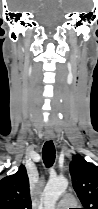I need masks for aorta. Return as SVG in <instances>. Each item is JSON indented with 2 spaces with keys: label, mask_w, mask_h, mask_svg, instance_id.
Listing matches in <instances>:
<instances>
[{
  "label": "aorta",
  "mask_w": 98,
  "mask_h": 209,
  "mask_svg": "<svg viewBox=\"0 0 98 209\" xmlns=\"http://www.w3.org/2000/svg\"><path fill=\"white\" fill-rule=\"evenodd\" d=\"M67 187L68 180L64 177L50 179L43 192L44 209H55L58 199L65 192Z\"/></svg>",
  "instance_id": "obj_1"
}]
</instances>
